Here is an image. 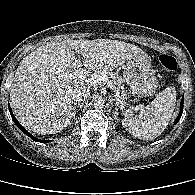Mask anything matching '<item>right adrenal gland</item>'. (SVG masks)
I'll return each instance as SVG.
<instances>
[{
    "mask_svg": "<svg viewBox=\"0 0 195 195\" xmlns=\"http://www.w3.org/2000/svg\"><path fill=\"white\" fill-rule=\"evenodd\" d=\"M78 106H80V103H74V105H73V118H75V116H76V108Z\"/></svg>",
    "mask_w": 195,
    "mask_h": 195,
    "instance_id": "1",
    "label": "right adrenal gland"
}]
</instances>
